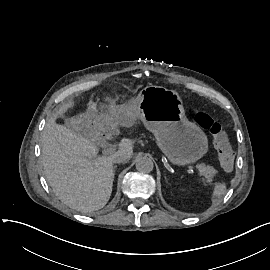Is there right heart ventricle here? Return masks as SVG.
<instances>
[{"instance_id": "e07e8e85", "label": "right heart ventricle", "mask_w": 270, "mask_h": 270, "mask_svg": "<svg viewBox=\"0 0 270 270\" xmlns=\"http://www.w3.org/2000/svg\"><path fill=\"white\" fill-rule=\"evenodd\" d=\"M173 139L169 135L168 129H162V134L159 138V145L164 151H170L173 149ZM146 161L145 157H140L135 161L134 167L136 169H141Z\"/></svg>"}]
</instances>
